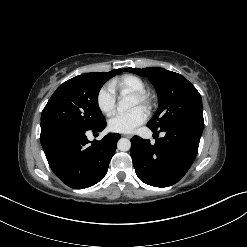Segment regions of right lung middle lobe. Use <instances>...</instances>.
<instances>
[{
	"mask_svg": "<svg viewBox=\"0 0 247 247\" xmlns=\"http://www.w3.org/2000/svg\"><path fill=\"white\" fill-rule=\"evenodd\" d=\"M113 76L86 73L62 83L42 111L41 131L60 127L88 130L105 122L98 93Z\"/></svg>",
	"mask_w": 247,
	"mask_h": 247,
	"instance_id": "right-lung-middle-lobe-1",
	"label": "right lung middle lobe"
}]
</instances>
